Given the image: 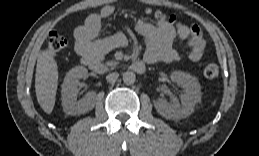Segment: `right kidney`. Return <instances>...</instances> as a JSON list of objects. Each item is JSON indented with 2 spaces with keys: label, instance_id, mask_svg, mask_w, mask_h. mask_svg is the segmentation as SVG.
Here are the masks:
<instances>
[{
  "label": "right kidney",
  "instance_id": "ca27d5eb",
  "mask_svg": "<svg viewBox=\"0 0 259 156\" xmlns=\"http://www.w3.org/2000/svg\"><path fill=\"white\" fill-rule=\"evenodd\" d=\"M87 76L88 71L83 66H76L66 74L62 84V106L66 114H85L94 108L96 93L93 91L88 92L81 100H77L79 81Z\"/></svg>",
  "mask_w": 259,
  "mask_h": 156
}]
</instances>
